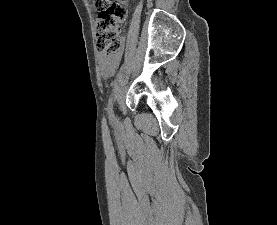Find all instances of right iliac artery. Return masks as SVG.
<instances>
[{
    "label": "right iliac artery",
    "mask_w": 277,
    "mask_h": 225,
    "mask_svg": "<svg viewBox=\"0 0 277 225\" xmlns=\"http://www.w3.org/2000/svg\"><path fill=\"white\" fill-rule=\"evenodd\" d=\"M112 97L110 98V100H109V111H108V113H109V118L111 119V120H114V115H113V110H112Z\"/></svg>",
    "instance_id": "right-iliac-artery-1"
}]
</instances>
